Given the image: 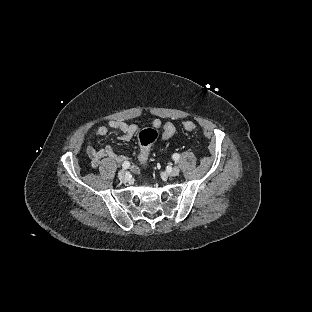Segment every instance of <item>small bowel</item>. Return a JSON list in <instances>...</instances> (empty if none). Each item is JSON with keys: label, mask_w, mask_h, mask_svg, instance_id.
<instances>
[{"label": "small bowel", "mask_w": 312, "mask_h": 312, "mask_svg": "<svg viewBox=\"0 0 312 312\" xmlns=\"http://www.w3.org/2000/svg\"><path fill=\"white\" fill-rule=\"evenodd\" d=\"M153 125L160 127L161 125V120L160 119H155L153 122ZM110 129L118 130L119 135L118 138L121 140H129L131 139L137 132L138 126L135 123H126L121 120H113L108 123V125H103L100 126L96 129L95 131V136L96 137H104L108 135ZM162 138L165 139L163 136ZM87 154L91 160V165L93 167H98L101 160L104 157H109L111 159H114L116 161H123L125 160V157L122 155L117 154L114 149L111 146H105L102 149H96L92 143H90L87 146ZM131 171L133 173H137V168L132 167Z\"/></svg>", "instance_id": "obj_1"}]
</instances>
